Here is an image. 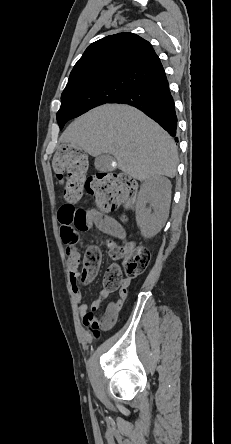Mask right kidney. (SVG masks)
Returning a JSON list of instances; mask_svg holds the SVG:
<instances>
[{"label": "right kidney", "mask_w": 231, "mask_h": 444, "mask_svg": "<svg viewBox=\"0 0 231 444\" xmlns=\"http://www.w3.org/2000/svg\"><path fill=\"white\" fill-rule=\"evenodd\" d=\"M170 202L171 183L167 178L156 176L141 185L136 203V222L144 237L156 235L165 225Z\"/></svg>", "instance_id": "1"}]
</instances>
